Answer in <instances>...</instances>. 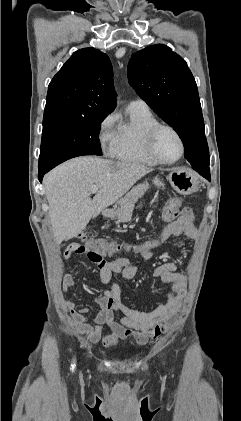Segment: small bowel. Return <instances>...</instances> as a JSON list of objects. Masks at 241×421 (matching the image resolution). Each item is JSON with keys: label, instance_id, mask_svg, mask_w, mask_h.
<instances>
[{"label": "small bowel", "instance_id": "obj_1", "mask_svg": "<svg viewBox=\"0 0 241 421\" xmlns=\"http://www.w3.org/2000/svg\"><path fill=\"white\" fill-rule=\"evenodd\" d=\"M164 239L173 238L178 247H183L185 241L194 238L197 230L194 224L193 211L185 208L181 215L172 223L163 228ZM72 251L68 246L64 258L69 260ZM151 258V252L140 253V263ZM138 264H131L125 257H118L99 266V277L103 284H111L109 290H104L95 297L100 311L89 323L88 308L75 309V302L67 300L65 308L68 312L73 328L84 334L92 343L102 342L104 346L115 345L119 340H134L140 345L145 344L149 338H156L166 333L175 323L182 300L186 292V277L176 271V264L165 262L157 266L154 276L164 284L170 285L166 303L157 306L149 312L139 311L126 306L121 300V286L114 279L115 274H122L125 278H132L138 271ZM76 280L66 275L62 281V291L67 292L70 287L76 286ZM119 316V320L116 319ZM107 325L112 333L102 336L103 325Z\"/></svg>", "mask_w": 241, "mask_h": 421}]
</instances>
